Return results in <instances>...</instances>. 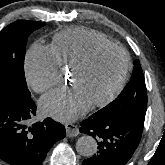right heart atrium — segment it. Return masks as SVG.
I'll use <instances>...</instances> for the list:
<instances>
[{"instance_id": "1", "label": "right heart atrium", "mask_w": 165, "mask_h": 165, "mask_svg": "<svg viewBox=\"0 0 165 165\" xmlns=\"http://www.w3.org/2000/svg\"><path fill=\"white\" fill-rule=\"evenodd\" d=\"M25 73L28 85L38 93L46 92L61 81L58 58L51 46L34 44L27 52Z\"/></svg>"}]
</instances>
